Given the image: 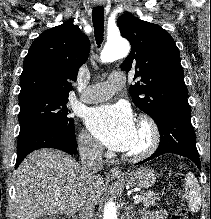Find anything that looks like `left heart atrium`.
<instances>
[{
    "label": "left heart atrium",
    "instance_id": "1",
    "mask_svg": "<svg viewBox=\"0 0 211 219\" xmlns=\"http://www.w3.org/2000/svg\"><path fill=\"white\" fill-rule=\"evenodd\" d=\"M86 124L96 138L115 151H128L136 137V123L125 105H103L91 109Z\"/></svg>",
    "mask_w": 211,
    "mask_h": 219
}]
</instances>
